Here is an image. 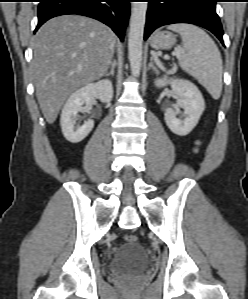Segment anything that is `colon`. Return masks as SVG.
Wrapping results in <instances>:
<instances>
[{
    "instance_id": "5ec220e1",
    "label": "colon",
    "mask_w": 248,
    "mask_h": 299,
    "mask_svg": "<svg viewBox=\"0 0 248 299\" xmlns=\"http://www.w3.org/2000/svg\"><path fill=\"white\" fill-rule=\"evenodd\" d=\"M124 240L127 243H135L137 241V236L134 234H127L124 236Z\"/></svg>"
}]
</instances>
